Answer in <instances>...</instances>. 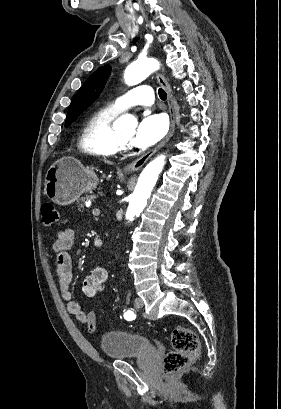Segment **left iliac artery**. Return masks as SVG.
Masks as SVG:
<instances>
[{"mask_svg": "<svg viewBox=\"0 0 281 409\" xmlns=\"http://www.w3.org/2000/svg\"><path fill=\"white\" fill-rule=\"evenodd\" d=\"M124 318L126 320H133L135 318V313L133 310H127L124 313Z\"/></svg>", "mask_w": 281, "mask_h": 409, "instance_id": "44dca946", "label": "left iliac artery"}]
</instances>
